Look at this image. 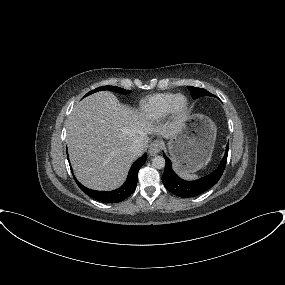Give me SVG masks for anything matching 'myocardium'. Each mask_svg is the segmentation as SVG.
I'll list each match as a JSON object with an SVG mask.
<instances>
[{"label":"myocardium","instance_id":"myocardium-1","mask_svg":"<svg viewBox=\"0 0 285 285\" xmlns=\"http://www.w3.org/2000/svg\"><path fill=\"white\" fill-rule=\"evenodd\" d=\"M189 111V101L186 96L176 95L171 104V113L177 121H182Z\"/></svg>","mask_w":285,"mask_h":285}]
</instances>
